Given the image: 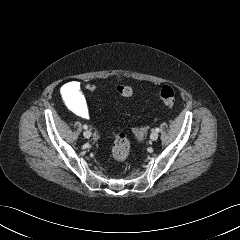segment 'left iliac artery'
Listing matches in <instances>:
<instances>
[{"label": "left iliac artery", "instance_id": "left-iliac-artery-1", "mask_svg": "<svg viewBox=\"0 0 240 240\" xmlns=\"http://www.w3.org/2000/svg\"><path fill=\"white\" fill-rule=\"evenodd\" d=\"M155 131H156V132H159V131H160V128H156Z\"/></svg>", "mask_w": 240, "mask_h": 240}]
</instances>
